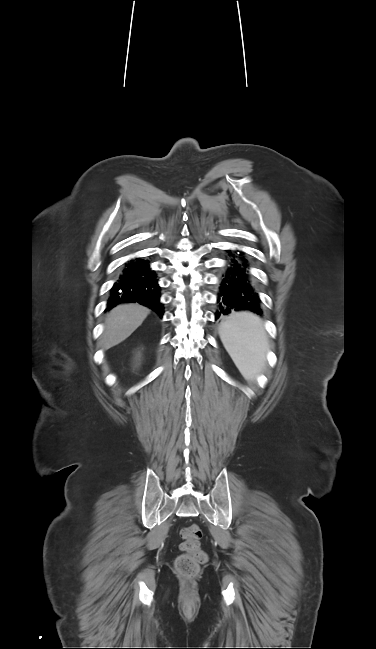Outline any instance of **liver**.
<instances>
[{
  "label": "liver",
  "mask_w": 376,
  "mask_h": 649,
  "mask_svg": "<svg viewBox=\"0 0 376 649\" xmlns=\"http://www.w3.org/2000/svg\"><path fill=\"white\" fill-rule=\"evenodd\" d=\"M150 310L138 304H121L107 315L102 348L109 349L126 340L145 320Z\"/></svg>",
  "instance_id": "1"
}]
</instances>
